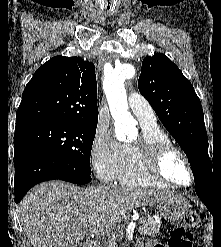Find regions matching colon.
I'll return each mask as SVG.
<instances>
[{"label":"colon","instance_id":"1","mask_svg":"<svg viewBox=\"0 0 221 247\" xmlns=\"http://www.w3.org/2000/svg\"><path fill=\"white\" fill-rule=\"evenodd\" d=\"M197 225L198 215L196 213L186 216L183 224L172 230L168 240V247H191L192 233L190 229Z\"/></svg>","mask_w":221,"mask_h":247}]
</instances>
